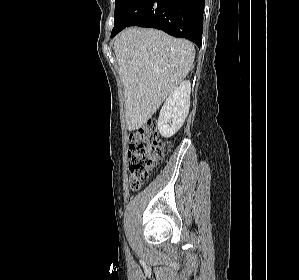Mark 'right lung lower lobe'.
<instances>
[{
    "mask_svg": "<svg viewBox=\"0 0 299 280\" xmlns=\"http://www.w3.org/2000/svg\"><path fill=\"white\" fill-rule=\"evenodd\" d=\"M205 0H124L114 20L111 38L128 26L151 27L189 39L199 48Z\"/></svg>",
    "mask_w": 299,
    "mask_h": 280,
    "instance_id": "1",
    "label": "right lung lower lobe"
}]
</instances>
